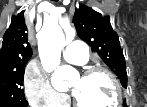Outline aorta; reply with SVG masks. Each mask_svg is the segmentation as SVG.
I'll return each mask as SVG.
<instances>
[{
	"label": "aorta",
	"instance_id": "aorta-1",
	"mask_svg": "<svg viewBox=\"0 0 147 107\" xmlns=\"http://www.w3.org/2000/svg\"><path fill=\"white\" fill-rule=\"evenodd\" d=\"M66 40L61 27L55 21L45 22L38 34L39 56L43 68L53 72L51 83L57 90L64 89L78 72L69 65H60L61 50Z\"/></svg>",
	"mask_w": 147,
	"mask_h": 107
}]
</instances>
